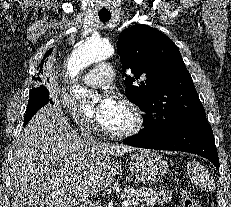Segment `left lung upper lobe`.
Here are the masks:
<instances>
[{"mask_svg": "<svg viewBox=\"0 0 231 207\" xmlns=\"http://www.w3.org/2000/svg\"><path fill=\"white\" fill-rule=\"evenodd\" d=\"M126 96L145 111L141 133L164 136L181 126L206 119L178 47L167 36L147 25L125 29L117 42Z\"/></svg>", "mask_w": 231, "mask_h": 207, "instance_id": "obj_1", "label": "left lung upper lobe"}]
</instances>
